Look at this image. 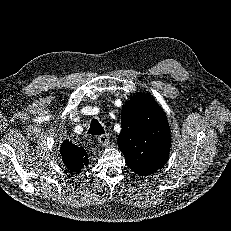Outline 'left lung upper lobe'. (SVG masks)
I'll list each match as a JSON object with an SVG mask.
<instances>
[{"mask_svg": "<svg viewBox=\"0 0 231 231\" xmlns=\"http://www.w3.org/2000/svg\"><path fill=\"white\" fill-rule=\"evenodd\" d=\"M118 146L128 167L140 176L162 168L169 156L171 137L162 109L145 94L127 101L121 113Z\"/></svg>", "mask_w": 231, "mask_h": 231, "instance_id": "left-lung-upper-lobe-1", "label": "left lung upper lobe"}]
</instances>
